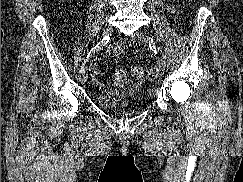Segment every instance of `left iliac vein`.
I'll use <instances>...</instances> for the list:
<instances>
[{"instance_id":"4c4485c4","label":"left iliac vein","mask_w":243,"mask_h":182,"mask_svg":"<svg viewBox=\"0 0 243 182\" xmlns=\"http://www.w3.org/2000/svg\"><path fill=\"white\" fill-rule=\"evenodd\" d=\"M132 37L134 39H137L139 41H146V36L141 33V32H135ZM164 68V63H163V60L162 58H158V61H157V65H156V76H160L161 75V72Z\"/></svg>"}]
</instances>
